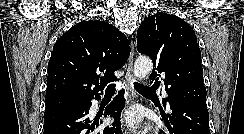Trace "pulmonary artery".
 <instances>
[{"label": "pulmonary artery", "instance_id": "pulmonary-artery-1", "mask_svg": "<svg viewBox=\"0 0 244 134\" xmlns=\"http://www.w3.org/2000/svg\"><path fill=\"white\" fill-rule=\"evenodd\" d=\"M162 91H163V96L164 97H167V94L166 92L164 91V88H162ZM167 107H168V110H170V107H169V103L167 102Z\"/></svg>", "mask_w": 244, "mask_h": 134}]
</instances>
